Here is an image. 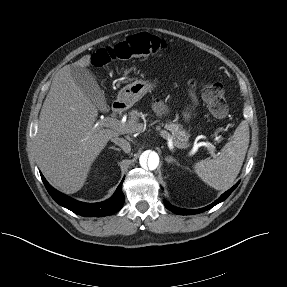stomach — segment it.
I'll use <instances>...</instances> for the list:
<instances>
[{
	"mask_svg": "<svg viewBox=\"0 0 287 287\" xmlns=\"http://www.w3.org/2000/svg\"><path fill=\"white\" fill-rule=\"evenodd\" d=\"M154 84L150 81L136 80L123 87L118 93V100L130 107L141 99Z\"/></svg>",
	"mask_w": 287,
	"mask_h": 287,
	"instance_id": "stomach-1",
	"label": "stomach"
}]
</instances>
